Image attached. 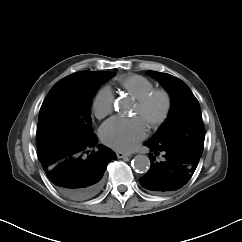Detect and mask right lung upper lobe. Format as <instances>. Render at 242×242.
Returning <instances> with one entry per match:
<instances>
[{
  "label": "right lung upper lobe",
  "instance_id": "right-lung-upper-lobe-1",
  "mask_svg": "<svg viewBox=\"0 0 242 242\" xmlns=\"http://www.w3.org/2000/svg\"><path fill=\"white\" fill-rule=\"evenodd\" d=\"M95 71H80L74 74H71L64 78V80H77V81H85L88 78H90L92 75H94Z\"/></svg>",
  "mask_w": 242,
  "mask_h": 242
}]
</instances>
